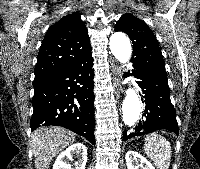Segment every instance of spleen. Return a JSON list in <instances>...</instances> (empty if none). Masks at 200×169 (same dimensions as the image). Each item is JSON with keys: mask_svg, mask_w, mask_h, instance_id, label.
Returning <instances> with one entry per match:
<instances>
[{"mask_svg": "<svg viewBox=\"0 0 200 169\" xmlns=\"http://www.w3.org/2000/svg\"><path fill=\"white\" fill-rule=\"evenodd\" d=\"M144 151L157 169H168L171 159V145L163 136L150 134L145 139Z\"/></svg>", "mask_w": 200, "mask_h": 169, "instance_id": "obj_1", "label": "spleen"}]
</instances>
